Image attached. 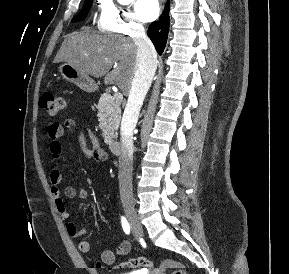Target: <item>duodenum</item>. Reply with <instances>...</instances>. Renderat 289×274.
Segmentation results:
<instances>
[{
	"mask_svg": "<svg viewBox=\"0 0 289 274\" xmlns=\"http://www.w3.org/2000/svg\"><path fill=\"white\" fill-rule=\"evenodd\" d=\"M109 148H110L111 152L115 155H118L121 152V144L117 140L110 141L109 142Z\"/></svg>",
	"mask_w": 289,
	"mask_h": 274,
	"instance_id": "1",
	"label": "duodenum"
}]
</instances>
